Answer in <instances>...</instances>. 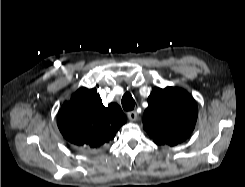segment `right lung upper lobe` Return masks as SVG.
Masks as SVG:
<instances>
[{
  "instance_id": "cb5924a9",
  "label": "right lung upper lobe",
  "mask_w": 245,
  "mask_h": 187,
  "mask_svg": "<svg viewBox=\"0 0 245 187\" xmlns=\"http://www.w3.org/2000/svg\"><path fill=\"white\" fill-rule=\"evenodd\" d=\"M125 123L126 117L117 104L105 107L95 89L84 87L63 104L57 116L64 138L81 149L102 147Z\"/></svg>"
}]
</instances>
